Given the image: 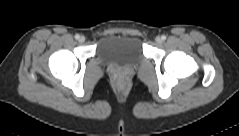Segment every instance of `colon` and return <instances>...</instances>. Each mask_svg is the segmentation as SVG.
<instances>
[{
    "instance_id": "colon-1",
    "label": "colon",
    "mask_w": 239,
    "mask_h": 136,
    "mask_svg": "<svg viewBox=\"0 0 239 136\" xmlns=\"http://www.w3.org/2000/svg\"><path fill=\"white\" fill-rule=\"evenodd\" d=\"M123 85V81L121 80L120 82H119V86H122Z\"/></svg>"
}]
</instances>
